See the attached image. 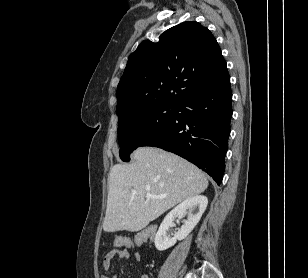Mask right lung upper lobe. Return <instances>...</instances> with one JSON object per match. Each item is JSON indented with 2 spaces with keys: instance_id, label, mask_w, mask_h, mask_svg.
<instances>
[{
  "instance_id": "right-lung-upper-lobe-1",
  "label": "right lung upper lobe",
  "mask_w": 308,
  "mask_h": 278,
  "mask_svg": "<svg viewBox=\"0 0 308 278\" xmlns=\"http://www.w3.org/2000/svg\"><path fill=\"white\" fill-rule=\"evenodd\" d=\"M228 78L212 33L198 22H183L163 32L158 42L143 41L130 54L116 93L119 121L156 104L178 105Z\"/></svg>"
}]
</instances>
